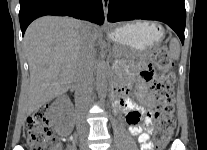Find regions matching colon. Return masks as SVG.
<instances>
[{
  "mask_svg": "<svg viewBox=\"0 0 207 150\" xmlns=\"http://www.w3.org/2000/svg\"><path fill=\"white\" fill-rule=\"evenodd\" d=\"M151 59L154 65L163 70L155 85L158 105L155 114L154 141L156 148L161 150L169 141L175 130L173 82L174 76L168 73L170 61L166 47L156 48ZM26 136L30 150H59L58 140L51 134L47 109L39 108L28 116Z\"/></svg>",
  "mask_w": 207,
  "mask_h": 150,
  "instance_id": "5ec220e1",
  "label": "colon"
}]
</instances>
